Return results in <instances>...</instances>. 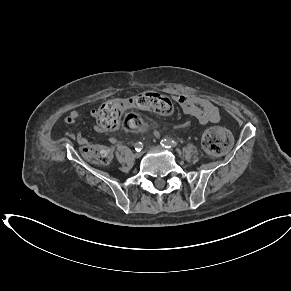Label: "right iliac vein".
I'll return each mask as SVG.
<instances>
[{
    "label": "right iliac vein",
    "instance_id": "1",
    "mask_svg": "<svg viewBox=\"0 0 291 291\" xmlns=\"http://www.w3.org/2000/svg\"><path fill=\"white\" fill-rule=\"evenodd\" d=\"M141 155H142V153H141V152H136V153L134 154V157H135V158H140V157H141Z\"/></svg>",
    "mask_w": 291,
    "mask_h": 291
}]
</instances>
